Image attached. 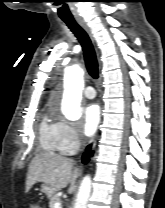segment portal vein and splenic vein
<instances>
[{
    "label": "portal vein and splenic vein",
    "instance_id": "18ae733b",
    "mask_svg": "<svg viewBox=\"0 0 165 208\" xmlns=\"http://www.w3.org/2000/svg\"><path fill=\"white\" fill-rule=\"evenodd\" d=\"M54 208H62L61 203H59V202L56 203L55 206H54Z\"/></svg>",
    "mask_w": 165,
    "mask_h": 208
}]
</instances>
